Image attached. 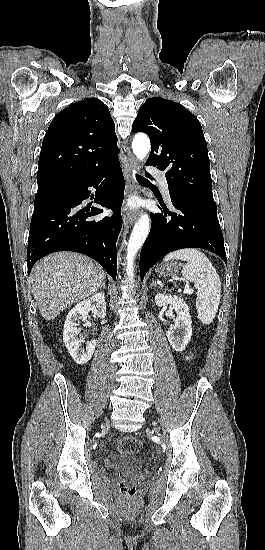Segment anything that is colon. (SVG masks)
<instances>
[{
  "instance_id": "5ec220e1",
  "label": "colon",
  "mask_w": 265,
  "mask_h": 550,
  "mask_svg": "<svg viewBox=\"0 0 265 550\" xmlns=\"http://www.w3.org/2000/svg\"><path fill=\"white\" fill-rule=\"evenodd\" d=\"M116 448L120 452L137 453L141 450L142 444L136 437L127 435L117 440ZM118 489L120 494L127 498H132L136 495V487L128 478H121L119 480Z\"/></svg>"
}]
</instances>
